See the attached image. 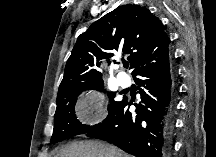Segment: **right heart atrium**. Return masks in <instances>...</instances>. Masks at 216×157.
<instances>
[{
    "label": "right heart atrium",
    "instance_id": "d8ad5b80",
    "mask_svg": "<svg viewBox=\"0 0 216 157\" xmlns=\"http://www.w3.org/2000/svg\"><path fill=\"white\" fill-rule=\"evenodd\" d=\"M107 114V108L102 97L93 92L89 95L88 109L82 117V121L87 124L97 123L101 121Z\"/></svg>",
    "mask_w": 216,
    "mask_h": 157
}]
</instances>
